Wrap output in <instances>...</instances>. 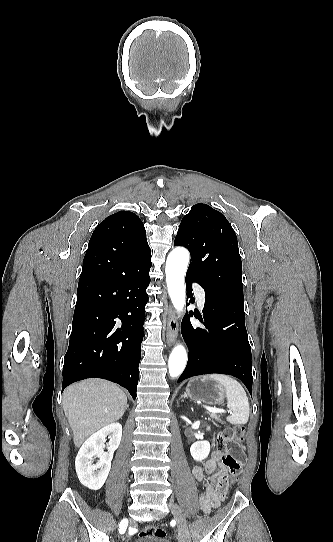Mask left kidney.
<instances>
[{"label": "left kidney", "instance_id": "1", "mask_svg": "<svg viewBox=\"0 0 333 542\" xmlns=\"http://www.w3.org/2000/svg\"><path fill=\"white\" fill-rule=\"evenodd\" d=\"M207 430H210L209 426H207ZM190 452L196 462H202V460H205L209 456L210 444L209 442H194L190 448Z\"/></svg>", "mask_w": 333, "mask_h": 542}]
</instances>
